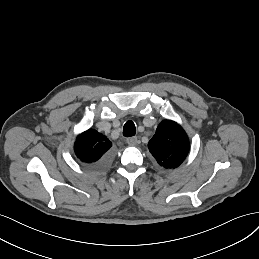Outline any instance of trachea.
<instances>
[{"label": "trachea", "instance_id": "obj_1", "mask_svg": "<svg viewBox=\"0 0 259 259\" xmlns=\"http://www.w3.org/2000/svg\"><path fill=\"white\" fill-rule=\"evenodd\" d=\"M136 132L135 125L132 121H128L125 123L123 128V135L125 137H131L134 136Z\"/></svg>", "mask_w": 259, "mask_h": 259}]
</instances>
